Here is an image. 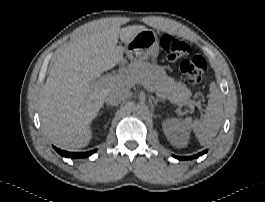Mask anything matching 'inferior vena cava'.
<instances>
[{
	"instance_id": "1",
	"label": "inferior vena cava",
	"mask_w": 265,
	"mask_h": 202,
	"mask_svg": "<svg viewBox=\"0 0 265 202\" xmlns=\"http://www.w3.org/2000/svg\"><path fill=\"white\" fill-rule=\"evenodd\" d=\"M130 95L129 91L125 88L114 87L108 90L105 102L110 105H119L121 101L128 98Z\"/></svg>"
}]
</instances>
